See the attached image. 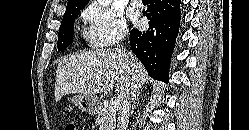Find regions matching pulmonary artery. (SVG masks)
I'll list each match as a JSON object with an SVG mask.
<instances>
[{"label": "pulmonary artery", "mask_w": 249, "mask_h": 130, "mask_svg": "<svg viewBox=\"0 0 249 130\" xmlns=\"http://www.w3.org/2000/svg\"><path fill=\"white\" fill-rule=\"evenodd\" d=\"M131 4L135 7H140L142 5V0H131Z\"/></svg>", "instance_id": "obj_1"}]
</instances>
